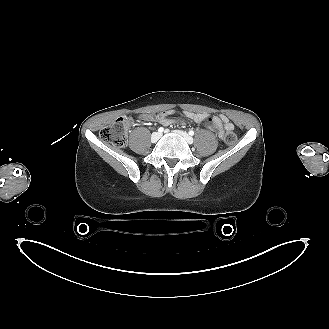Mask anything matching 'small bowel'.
I'll use <instances>...</instances> for the list:
<instances>
[{
  "instance_id": "c3829d8e",
  "label": "small bowel",
  "mask_w": 329,
  "mask_h": 329,
  "mask_svg": "<svg viewBox=\"0 0 329 329\" xmlns=\"http://www.w3.org/2000/svg\"><path fill=\"white\" fill-rule=\"evenodd\" d=\"M175 114L174 110H167L160 112L156 115L143 114V120H156L164 125H169L174 122H183V118L191 120L195 123H205L210 130L214 131L219 139H223L226 132L234 130L233 123L229 120L226 115H210L199 112H184L182 118H173Z\"/></svg>"
}]
</instances>
